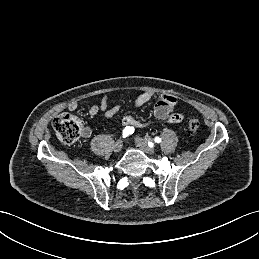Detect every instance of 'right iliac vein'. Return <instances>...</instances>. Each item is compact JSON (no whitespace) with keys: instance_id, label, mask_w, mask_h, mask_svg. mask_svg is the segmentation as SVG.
<instances>
[{"instance_id":"1","label":"right iliac vein","mask_w":259,"mask_h":259,"mask_svg":"<svg viewBox=\"0 0 259 259\" xmlns=\"http://www.w3.org/2000/svg\"><path fill=\"white\" fill-rule=\"evenodd\" d=\"M123 147V141L121 139L117 140L113 145V151L119 153Z\"/></svg>"}]
</instances>
